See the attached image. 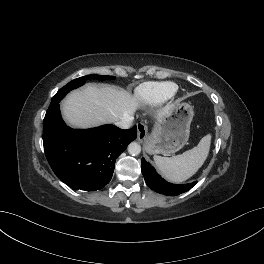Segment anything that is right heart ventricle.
<instances>
[{"label":"right heart ventricle","mask_w":264,"mask_h":264,"mask_svg":"<svg viewBox=\"0 0 264 264\" xmlns=\"http://www.w3.org/2000/svg\"><path fill=\"white\" fill-rule=\"evenodd\" d=\"M177 90V84L171 81L146 82L136 90L137 98L144 104L156 105L170 97Z\"/></svg>","instance_id":"1"}]
</instances>
